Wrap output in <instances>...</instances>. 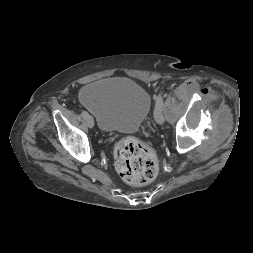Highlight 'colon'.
Masks as SVG:
<instances>
[{"instance_id":"5ec220e1","label":"colon","mask_w":253,"mask_h":253,"mask_svg":"<svg viewBox=\"0 0 253 253\" xmlns=\"http://www.w3.org/2000/svg\"><path fill=\"white\" fill-rule=\"evenodd\" d=\"M114 160L119 175L130 185H146L157 177L156 154L140 139L128 137L119 141L114 149Z\"/></svg>"}]
</instances>
